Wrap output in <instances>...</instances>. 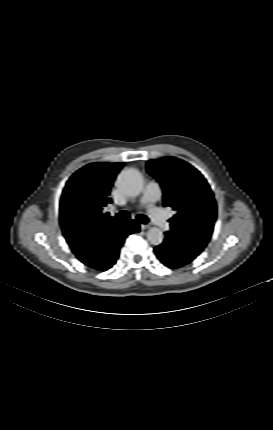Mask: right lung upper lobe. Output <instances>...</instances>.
<instances>
[{"instance_id":"cb5924a9","label":"right lung upper lobe","mask_w":273,"mask_h":430,"mask_svg":"<svg viewBox=\"0 0 273 430\" xmlns=\"http://www.w3.org/2000/svg\"><path fill=\"white\" fill-rule=\"evenodd\" d=\"M123 163L95 162L76 171L60 200V223L67 242L80 261L90 255L89 243L102 231L116 229L104 208L112 203L110 190Z\"/></svg>"}]
</instances>
